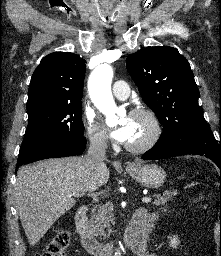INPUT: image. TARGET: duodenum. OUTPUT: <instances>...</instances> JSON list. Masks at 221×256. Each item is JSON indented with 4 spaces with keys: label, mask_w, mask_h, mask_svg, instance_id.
<instances>
[{
    "label": "duodenum",
    "mask_w": 221,
    "mask_h": 256,
    "mask_svg": "<svg viewBox=\"0 0 221 256\" xmlns=\"http://www.w3.org/2000/svg\"><path fill=\"white\" fill-rule=\"evenodd\" d=\"M87 212V206L81 205L75 216L76 229L81 237L83 247L92 256H113L115 244L100 242L94 236L88 225ZM147 218V213L144 210H137L134 213L124 235V242L127 245H134L145 235Z\"/></svg>",
    "instance_id": "410a0bca"
}]
</instances>
